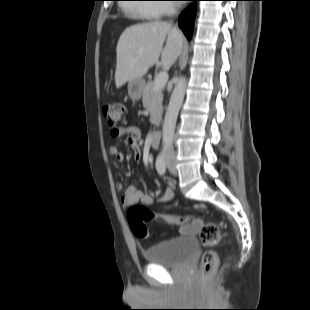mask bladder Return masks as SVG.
Wrapping results in <instances>:
<instances>
[{
	"instance_id": "31cf9c89",
	"label": "bladder",
	"mask_w": 310,
	"mask_h": 310,
	"mask_svg": "<svg viewBox=\"0 0 310 310\" xmlns=\"http://www.w3.org/2000/svg\"><path fill=\"white\" fill-rule=\"evenodd\" d=\"M199 245L192 237H174L158 242L146 249L147 263L166 266H181L197 254Z\"/></svg>"
}]
</instances>
